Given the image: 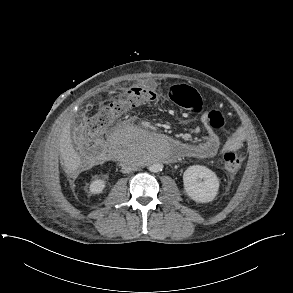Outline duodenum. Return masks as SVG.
<instances>
[{
  "instance_id": "1",
  "label": "duodenum",
  "mask_w": 293,
  "mask_h": 293,
  "mask_svg": "<svg viewBox=\"0 0 293 293\" xmlns=\"http://www.w3.org/2000/svg\"><path fill=\"white\" fill-rule=\"evenodd\" d=\"M166 139L174 146L176 150H178V153H175L173 156L169 158H161L162 161H167L169 163H172L178 159L179 156H182V152L188 149L187 144H185L183 141L178 140L174 137L168 136Z\"/></svg>"
}]
</instances>
